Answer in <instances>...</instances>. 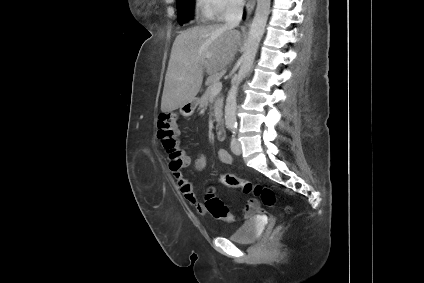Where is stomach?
<instances>
[{"label":"stomach","instance_id":"1","mask_svg":"<svg viewBox=\"0 0 424 283\" xmlns=\"http://www.w3.org/2000/svg\"><path fill=\"white\" fill-rule=\"evenodd\" d=\"M195 107L196 106H195L194 101L188 102L185 105H183L182 107H180V114L183 117H188L193 113Z\"/></svg>","mask_w":424,"mask_h":283}]
</instances>
